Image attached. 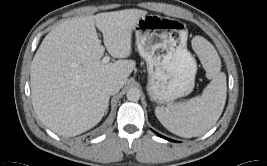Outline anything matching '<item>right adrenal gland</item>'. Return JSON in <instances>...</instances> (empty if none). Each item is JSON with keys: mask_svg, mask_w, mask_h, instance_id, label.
<instances>
[{"mask_svg": "<svg viewBox=\"0 0 267 166\" xmlns=\"http://www.w3.org/2000/svg\"><path fill=\"white\" fill-rule=\"evenodd\" d=\"M108 111V105H107V110H106V112Z\"/></svg>", "mask_w": 267, "mask_h": 166, "instance_id": "2a0ac1e0", "label": "right adrenal gland"}]
</instances>
